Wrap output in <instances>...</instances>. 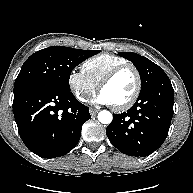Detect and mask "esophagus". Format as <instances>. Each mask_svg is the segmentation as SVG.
Segmentation results:
<instances>
[{
  "mask_svg": "<svg viewBox=\"0 0 193 193\" xmlns=\"http://www.w3.org/2000/svg\"><path fill=\"white\" fill-rule=\"evenodd\" d=\"M89 112H90V115L93 117L98 113V110L94 108H90Z\"/></svg>",
  "mask_w": 193,
  "mask_h": 193,
  "instance_id": "esophagus-1",
  "label": "esophagus"
}]
</instances>
